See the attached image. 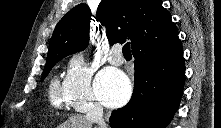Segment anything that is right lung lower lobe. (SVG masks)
Returning a JSON list of instances; mask_svg holds the SVG:
<instances>
[{"label":"right lung lower lobe","mask_w":221,"mask_h":128,"mask_svg":"<svg viewBox=\"0 0 221 128\" xmlns=\"http://www.w3.org/2000/svg\"><path fill=\"white\" fill-rule=\"evenodd\" d=\"M134 91L129 103L112 111V128H164L178 109L185 81L182 43L178 36L160 48L132 51Z\"/></svg>","instance_id":"right-lung-lower-lobe-1"}]
</instances>
